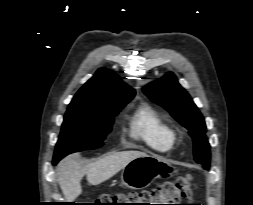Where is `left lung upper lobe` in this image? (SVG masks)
<instances>
[{"label":"left lung upper lobe","instance_id":"5c2ea615","mask_svg":"<svg viewBox=\"0 0 253 205\" xmlns=\"http://www.w3.org/2000/svg\"><path fill=\"white\" fill-rule=\"evenodd\" d=\"M143 91L189 130L194 142V158L197 163L208 169L210 145L205 136V121L189 94L178 83L175 75L167 73L158 81L144 87Z\"/></svg>","mask_w":253,"mask_h":205}]
</instances>
